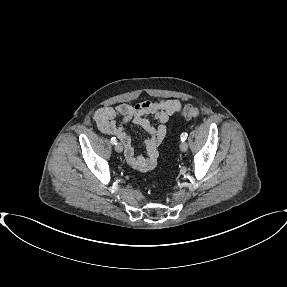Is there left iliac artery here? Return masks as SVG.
Returning <instances> with one entry per match:
<instances>
[{"instance_id": "44dca946", "label": "left iliac artery", "mask_w": 287, "mask_h": 287, "mask_svg": "<svg viewBox=\"0 0 287 287\" xmlns=\"http://www.w3.org/2000/svg\"><path fill=\"white\" fill-rule=\"evenodd\" d=\"M187 138V133H182L181 134V141H185Z\"/></svg>"}]
</instances>
